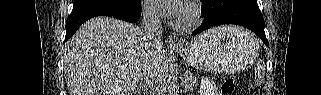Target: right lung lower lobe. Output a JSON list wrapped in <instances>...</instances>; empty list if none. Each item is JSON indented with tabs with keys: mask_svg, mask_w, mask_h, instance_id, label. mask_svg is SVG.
<instances>
[{
	"mask_svg": "<svg viewBox=\"0 0 321 95\" xmlns=\"http://www.w3.org/2000/svg\"><path fill=\"white\" fill-rule=\"evenodd\" d=\"M96 16H109L128 22H136L141 16V7H138L137 9L126 13L118 12L115 10H87L71 13L66 22L65 41L73 36V34L81 24H83L88 19Z\"/></svg>",
	"mask_w": 321,
	"mask_h": 95,
	"instance_id": "98d812e1",
	"label": "right lung lower lobe"
}]
</instances>
